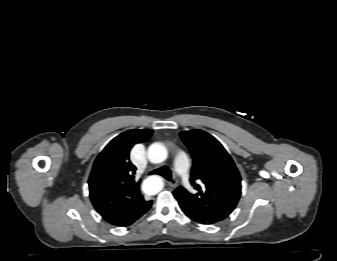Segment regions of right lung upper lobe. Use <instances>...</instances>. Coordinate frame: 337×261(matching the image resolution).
Listing matches in <instances>:
<instances>
[{
    "instance_id": "cb5924a9",
    "label": "right lung upper lobe",
    "mask_w": 337,
    "mask_h": 261,
    "mask_svg": "<svg viewBox=\"0 0 337 261\" xmlns=\"http://www.w3.org/2000/svg\"><path fill=\"white\" fill-rule=\"evenodd\" d=\"M153 130L134 129L115 137L96 158L90 178V198L97 212L116 226L130 225L150 207L135 180L130 148L149 139Z\"/></svg>"
}]
</instances>
